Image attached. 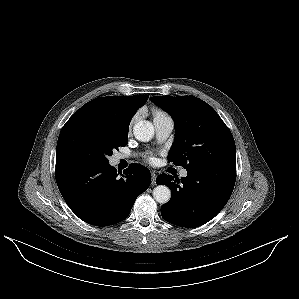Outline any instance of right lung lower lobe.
<instances>
[{
	"label": "right lung lower lobe",
	"mask_w": 299,
	"mask_h": 299,
	"mask_svg": "<svg viewBox=\"0 0 299 299\" xmlns=\"http://www.w3.org/2000/svg\"><path fill=\"white\" fill-rule=\"evenodd\" d=\"M56 182L70 209L84 222L109 226L129 215L136 198L150 185V171L130 164L122 172L108 163L56 158Z\"/></svg>",
	"instance_id": "obj_1"
}]
</instances>
